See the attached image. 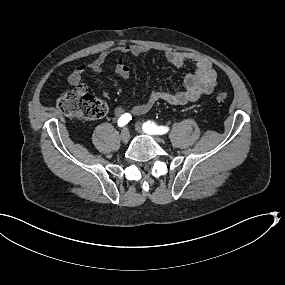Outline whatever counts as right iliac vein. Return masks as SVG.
I'll return each mask as SVG.
<instances>
[{"instance_id": "63e3f726", "label": "right iliac vein", "mask_w": 285, "mask_h": 285, "mask_svg": "<svg viewBox=\"0 0 285 285\" xmlns=\"http://www.w3.org/2000/svg\"><path fill=\"white\" fill-rule=\"evenodd\" d=\"M120 139L123 143H128L129 139H130V132L128 130V128H124L120 134Z\"/></svg>"}]
</instances>
